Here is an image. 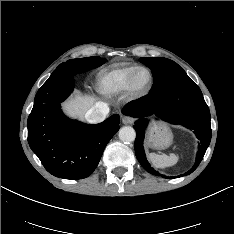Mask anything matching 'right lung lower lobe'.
<instances>
[{
    "label": "right lung lower lobe",
    "mask_w": 234,
    "mask_h": 234,
    "mask_svg": "<svg viewBox=\"0 0 234 234\" xmlns=\"http://www.w3.org/2000/svg\"><path fill=\"white\" fill-rule=\"evenodd\" d=\"M74 74L54 71L38 90L28 118V142L45 169L65 179H83L97 167L110 139L119 130L120 117L90 125L67 118L61 110L73 91Z\"/></svg>",
    "instance_id": "right-lung-lower-lobe-1"
}]
</instances>
